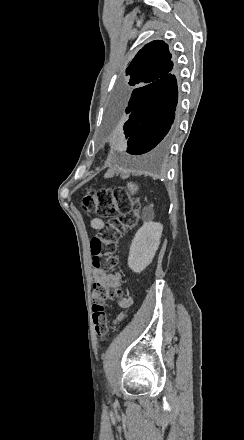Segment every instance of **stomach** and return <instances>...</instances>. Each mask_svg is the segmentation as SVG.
<instances>
[{
  "mask_svg": "<svg viewBox=\"0 0 244 440\" xmlns=\"http://www.w3.org/2000/svg\"><path fill=\"white\" fill-rule=\"evenodd\" d=\"M127 188L130 194H136V192L139 190V186H137V184H132V182H128Z\"/></svg>",
  "mask_w": 244,
  "mask_h": 440,
  "instance_id": "stomach-1",
  "label": "stomach"
}]
</instances>
